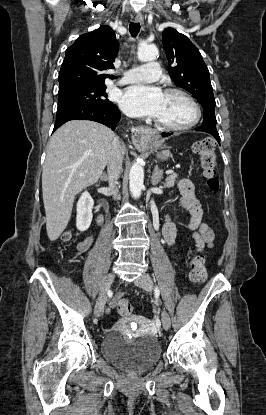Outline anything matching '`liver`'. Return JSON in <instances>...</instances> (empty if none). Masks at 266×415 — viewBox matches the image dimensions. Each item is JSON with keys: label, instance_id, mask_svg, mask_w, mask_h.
<instances>
[{"label": "liver", "instance_id": "6515ba94", "mask_svg": "<svg viewBox=\"0 0 266 415\" xmlns=\"http://www.w3.org/2000/svg\"><path fill=\"white\" fill-rule=\"evenodd\" d=\"M115 138L111 129L88 120L69 121L52 135L42 171L46 230L51 241L65 230L76 194L101 177Z\"/></svg>", "mask_w": 266, "mask_h": 415}]
</instances>
